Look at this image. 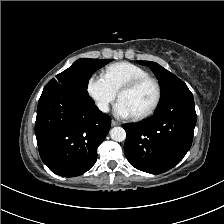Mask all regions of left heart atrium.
<instances>
[{
	"label": "left heart atrium",
	"instance_id": "39dd6f15",
	"mask_svg": "<svg viewBox=\"0 0 224 224\" xmlns=\"http://www.w3.org/2000/svg\"><path fill=\"white\" fill-rule=\"evenodd\" d=\"M114 113L120 118H132L135 116L126 103L120 99L115 104Z\"/></svg>",
	"mask_w": 224,
	"mask_h": 224
}]
</instances>
